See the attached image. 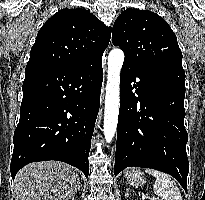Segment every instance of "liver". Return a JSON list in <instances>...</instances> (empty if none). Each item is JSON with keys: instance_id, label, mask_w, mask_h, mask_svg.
<instances>
[{"instance_id": "1", "label": "liver", "mask_w": 205, "mask_h": 200, "mask_svg": "<svg viewBox=\"0 0 205 200\" xmlns=\"http://www.w3.org/2000/svg\"><path fill=\"white\" fill-rule=\"evenodd\" d=\"M79 176L70 165L59 161L34 162L16 175V200H72Z\"/></svg>"}]
</instances>
